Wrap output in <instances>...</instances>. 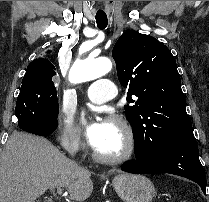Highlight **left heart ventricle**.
<instances>
[{
  "label": "left heart ventricle",
  "instance_id": "left-heart-ventricle-1",
  "mask_svg": "<svg viewBox=\"0 0 209 202\" xmlns=\"http://www.w3.org/2000/svg\"><path fill=\"white\" fill-rule=\"evenodd\" d=\"M124 145L125 138L121 129L107 121L102 140L94 149L104 155H116L122 151Z\"/></svg>",
  "mask_w": 209,
  "mask_h": 202
}]
</instances>
